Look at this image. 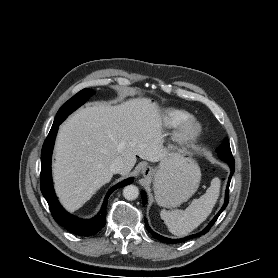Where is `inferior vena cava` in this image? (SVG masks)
Returning <instances> with one entry per match:
<instances>
[{
  "label": "inferior vena cava",
  "mask_w": 278,
  "mask_h": 278,
  "mask_svg": "<svg viewBox=\"0 0 278 278\" xmlns=\"http://www.w3.org/2000/svg\"><path fill=\"white\" fill-rule=\"evenodd\" d=\"M125 163L122 158H116L111 164H110V171L114 174L121 173L125 169Z\"/></svg>",
  "instance_id": "inferior-vena-cava-1"
}]
</instances>
